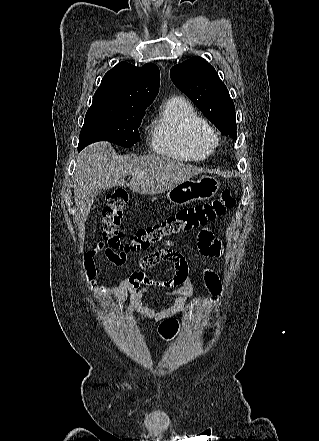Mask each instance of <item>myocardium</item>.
I'll use <instances>...</instances> for the list:
<instances>
[{"label": "myocardium", "instance_id": "obj_1", "mask_svg": "<svg viewBox=\"0 0 319 441\" xmlns=\"http://www.w3.org/2000/svg\"><path fill=\"white\" fill-rule=\"evenodd\" d=\"M212 138H213L214 142L217 144V136L214 132L212 133Z\"/></svg>", "mask_w": 319, "mask_h": 441}]
</instances>
